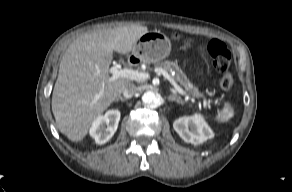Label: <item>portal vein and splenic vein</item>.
<instances>
[{
  "instance_id": "obj_1",
  "label": "portal vein and splenic vein",
  "mask_w": 292,
  "mask_h": 192,
  "mask_svg": "<svg viewBox=\"0 0 292 192\" xmlns=\"http://www.w3.org/2000/svg\"><path fill=\"white\" fill-rule=\"evenodd\" d=\"M109 73L112 74L110 81L117 80L119 78H126L138 82H142L147 80L150 75L147 72H139L137 70H133L130 68H123L121 69L119 66H112L108 69ZM156 73L159 75H163L171 85L175 88V90L180 93L181 95H184L188 97L189 95L177 84V82L162 68H157ZM206 102V101H205Z\"/></svg>"
}]
</instances>
